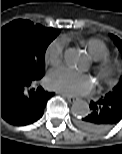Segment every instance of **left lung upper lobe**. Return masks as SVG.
Returning <instances> with one entry per match:
<instances>
[{"instance_id": "left-lung-upper-lobe-1", "label": "left lung upper lobe", "mask_w": 122, "mask_h": 154, "mask_svg": "<svg viewBox=\"0 0 122 154\" xmlns=\"http://www.w3.org/2000/svg\"><path fill=\"white\" fill-rule=\"evenodd\" d=\"M110 36L111 38H113L114 43L117 45L118 49L122 53V40L112 34H110ZM108 94H111V96L114 97L115 100L122 104V76L118 84Z\"/></svg>"}]
</instances>
